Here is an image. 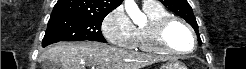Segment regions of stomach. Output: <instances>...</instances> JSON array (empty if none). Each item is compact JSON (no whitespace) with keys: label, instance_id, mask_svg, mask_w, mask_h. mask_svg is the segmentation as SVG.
Masks as SVG:
<instances>
[{"label":"stomach","instance_id":"1","mask_svg":"<svg viewBox=\"0 0 246 69\" xmlns=\"http://www.w3.org/2000/svg\"><path fill=\"white\" fill-rule=\"evenodd\" d=\"M161 69H187L184 65L179 62H167Z\"/></svg>","mask_w":246,"mask_h":69}]
</instances>
